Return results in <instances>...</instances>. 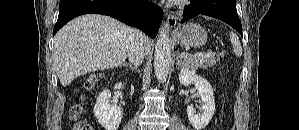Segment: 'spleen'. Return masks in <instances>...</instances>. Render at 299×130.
I'll use <instances>...</instances> for the list:
<instances>
[{
	"instance_id": "spleen-1",
	"label": "spleen",
	"mask_w": 299,
	"mask_h": 130,
	"mask_svg": "<svg viewBox=\"0 0 299 130\" xmlns=\"http://www.w3.org/2000/svg\"><path fill=\"white\" fill-rule=\"evenodd\" d=\"M230 40H231V44L233 46V50H234V53L237 57H241L242 55V47H241V44H240V41H239V38L238 36L233 33V32H230Z\"/></svg>"
}]
</instances>
